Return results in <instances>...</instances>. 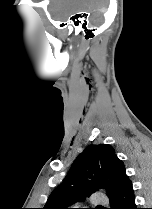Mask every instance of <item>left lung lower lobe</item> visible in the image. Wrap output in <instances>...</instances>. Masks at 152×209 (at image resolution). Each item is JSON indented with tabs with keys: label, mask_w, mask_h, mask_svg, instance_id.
Segmentation results:
<instances>
[{
	"label": "left lung lower lobe",
	"mask_w": 152,
	"mask_h": 209,
	"mask_svg": "<svg viewBox=\"0 0 152 209\" xmlns=\"http://www.w3.org/2000/svg\"><path fill=\"white\" fill-rule=\"evenodd\" d=\"M110 209H137L132 183L128 178L120 190L110 198Z\"/></svg>",
	"instance_id": "0a47b994"
}]
</instances>
